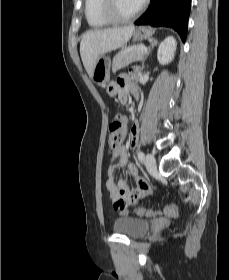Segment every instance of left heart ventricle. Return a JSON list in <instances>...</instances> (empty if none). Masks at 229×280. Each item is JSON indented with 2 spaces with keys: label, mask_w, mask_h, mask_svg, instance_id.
I'll return each mask as SVG.
<instances>
[{
  "label": "left heart ventricle",
  "mask_w": 229,
  "mask_h": 280,
  "mask_svg": "<svg viewBox=\"0 0 229 280\" xmlns=\"http://www.w3.org/2000/svg\"><path fill=\"white\" fill-rule=\"evenodd\" d=\"M116 10L120 15L128 16L134 13L138 8L136 0H115Z\"/></svg>",
  "instance_id": "left-heart-ventricle-1"
}]
</instances>
